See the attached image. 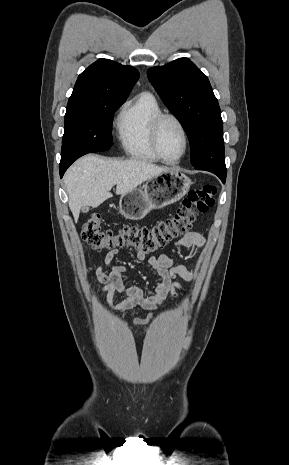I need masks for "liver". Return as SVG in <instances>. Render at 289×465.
<instances>
[{
    "mask_svg": "<svg viewBox=\"0 0 289 465\" xmlns=\"http://www.w3.org/2000/svg\"><path fill=\"white\" fill-rule=\"evenodd\" d=\"M170 170L139 159L115 161L96 155L78 159L65 173L64 183L69 196V208L75 221L83 206L98 207L116 194H126L163 172Z\"/></svg>",
    "mask_w": 289,
    "mask_h": 465,
    "instance_id": "obj_1",
    "label": "liver"
}]
</instances>
